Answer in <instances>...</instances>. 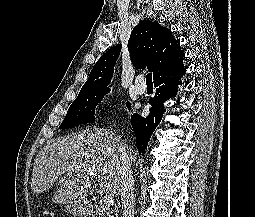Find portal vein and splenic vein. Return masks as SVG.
I'll use <instances>...</instances> for the list:
<instances>
[{
  "label": "portal vein and splenic vein",
  "instance_id": "portal-vein-and-splenic-vein-1",
  "mask_svg": "<svg viewBox=\"0 0 255 217\" xmlns=\"http://www.w3.org/2000/svg\"><path fill=\"white\" fill-rule=\"evenodd\" d=\"M77 170H80V167L77 166V165H71L67 168V173L68 175H72V173L74 171H77ZM87 173L90 175V176H94L96 177L97 174L91 170H87ZM114 204V198L111 194H106L103 198V205L106 206V207H110Z\"/></svg>",
  "mask_w": 255,
  "mask_h": 217
}]
</instances>
